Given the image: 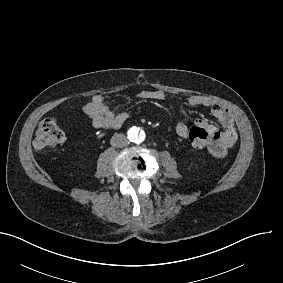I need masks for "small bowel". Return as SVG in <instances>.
<instances>
[{"label": "small bowel", "mask_w": 283, "mask_h": 283, "mask_svg": "<svg viewBox=\"0 0 283 283\" xmlns=\"http://www.w3.org/2000/svg\"><path fill=\"white\" fill-rule=\"evenodd\" d=\"M135 97L140 100L163 101L167 99V94L162 90H141L136 93ZM188 103L192 106L208 108L212 115L218 120L223 128V131H218L213 123L204 120H197L201 128L207 129L214 137L215 144L210 150V154L216 158H223L227 155L237 140L238 133L236 122L233 114L223 105L215 101L213 98L203 95H193L188 99ZM84 112L88 117L91 125L96 129L111 130L120 128L128 119L126 112L114 113L108 107L106 97L102 94H97L92 97L89 103L86 104ZM183 123L179 122L176 127V133L186 138L183 132Z\"/></svg>", "instance_id": "obj_1"}]
</instances>
